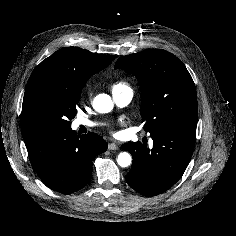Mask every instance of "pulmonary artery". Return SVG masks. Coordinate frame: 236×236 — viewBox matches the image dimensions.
Here are the masks:
<instances>
[{
	"label": "pulmonary artery",
	"instance_id": "obj_1",
	"mask_svg": "<svg viewBox=\"0 0 236 236\" xmlns=\"http://www.w3.org/2000/svg\"><path fill=\"white\" fill-rule=\"evenodd\" d=\"M112 93L115 103L120 107L128 105L133 98V92L131 89L128 88L117 89L114 90ZM95 125L96 123L85 118H80L75 121L76 127L80 126L93 127Z\"/></svg>",
	"mask_w": 236,
	"mask_h": 236
}]
</instances>
